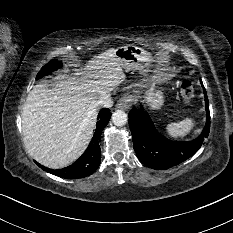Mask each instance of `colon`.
<instances>
[{
    "label": "colon",
    "mask_w": 233,
    "mask_h": 233,
    "mask_svg": "<svg viewBox=\"0 0 233 233\" xmlns=\"http://www.w3.org/2000/svg\"><path fill=\"white\" fill-rule=\"evenodd\" d=\"M180 94L183 103L191 104L194 99V87L191 81L185 80L180 85Z\"/></svg>",
    "instance_id": "obj_1"
}]
</instances>
